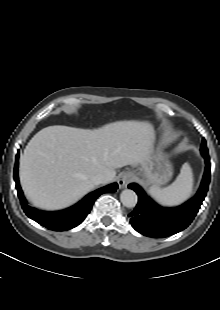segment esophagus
Returning a JSON list of instances; mask_svg holds the SVG:
<instances>
[{
    "mask_svg": "<svg viewBox=\"0 0 220 310\" xmlns=\"http://www.w3.org/2000/svg\"><path fill=\"white\" fill-rule=\"evenodd\" d=\"M133 180V174L125 172L118 176L117 182L120 188H125Z\"/></svg>",
    "mask_w": 220,
    "mask_h": 310,
    "instance_id": "34e87169",
    "label": "esophagus"
}]
</instances>
